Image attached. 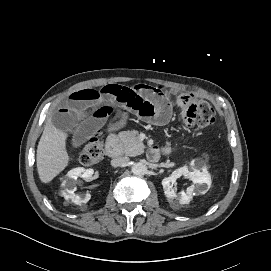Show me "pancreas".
<instances>
[{"mask_svg":"<svg viewBox=\"0 0 271 271\" xmlns=\"http://www.w3.org/2000/svg\"><path fill=\"white\" fill-rule=\"evenodd\" d=\"M123 145V154L126 156H137L144 152V144L140 140L137 131H125L119 134Z\"/></svg>","mask_w":271,"mask_h":271,"instance_id":"pancreas-1","label":"pancreas"}]
</instances>
